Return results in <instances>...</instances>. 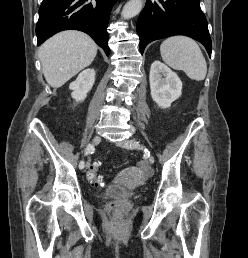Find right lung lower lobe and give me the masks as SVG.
Masks as SVG:
<instances>
[{
    "label": "right lung lower lobe",
    "instance_id": "1",
    "mask_svg": "<svg viewBox=\"0 0 248 258\" xmlns=\"http://www.w3.org/2000/svg\"><path fill=\"white\" fill-rule=\"evenodd\" d=\"M116 0H43L36 26L38 45L63 30L89 34L108 56L107 26Z\"/></svg>",
    "mask_w": 248,
    "mask_h": 258
}]
</instances>
